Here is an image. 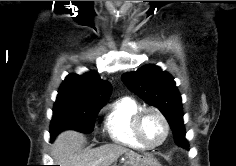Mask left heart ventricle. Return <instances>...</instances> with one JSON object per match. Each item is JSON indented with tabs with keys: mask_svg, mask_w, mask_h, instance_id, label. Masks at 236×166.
<instances>
[{
	"mask_svg": "<svg viewBox=\"0 0 236 166\" xmlns=\"http://www.w3.org/2000/svg\"><path fill=\"white\" fill-rule=\"evenodd\" d=\"M141 132L148 143L156 144L164 136V125L156 114L150 112L142 120Z\"/></svg>",
	"mask_w": 236,
	"mask_h": 166,
	"instance_id": "b2bd125f",
	"label": "left heart ventricle"
}]
</instances>
